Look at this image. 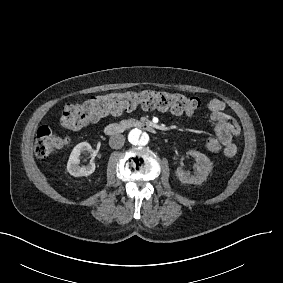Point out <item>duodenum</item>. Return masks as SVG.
I'll return each instance as SVG.
<instances>
[{
    "label": "duodenum",
    "instance_id": "1",
    "mask_svg": "<svg viewBox=\"0 0 283 283\" xmlns=\"http://www.w3.org/2000/svg\"><path fill=\"white\" fill-rule=\"evenodd\" d=\"M131 128H138L149 133L156 132V128L152 124L138 120H127L109 124L104 128V132L106 135L113 136Z\"/></svg>",
    "mask_w": 283,
    "mask_h": 283
}]
</instances>
